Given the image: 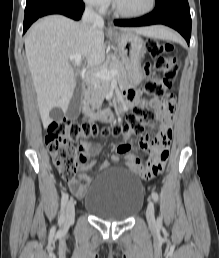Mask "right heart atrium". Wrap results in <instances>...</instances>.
<instances>
[{
  "mask_svg": "<svg viewBox=\"0 0 219 258\" xmlns=\"http://www.w3.org/2000/svg\"><path fill=\"white\" fill-rule=\"evenodd\" d=\"M83 1L86 5L98 11H103L107 9V7L110 5V2H111V0H83Z\"/></svg>",
  "mask_w": 219,
  "mask_h": 258,
  "instance_id": "right-heart-atrium-1",
  "label": "right heart atrium"
}]
</instances>
